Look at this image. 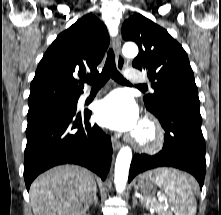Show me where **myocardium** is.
<instances>
[{
    "mask_svg": "<svg viewBox=\"0 0 221 215\" xmlns=\"http://www.w3.org/2000/svg\"><path fill=\"white\" fill-rule=\"evenodd\" d=\"M136 149L144 152H156L164 142V131L159 123L146 118L141 123L132 140Z\"/></svg>",
    "mask_w": 221,
    "mask_h": 215,
    "instance_id": "obj_1",
    "label": "myocardium"
}]
</instances>
